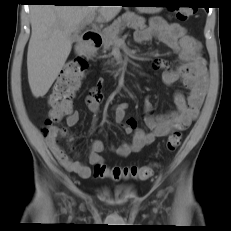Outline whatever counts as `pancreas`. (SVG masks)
<instances>
[{
	"label": "pancreas",
	"mask_w": 231,
	"mask_h": 231,
	"mask_svg": "<svg viewBox=\"0 0 231 231\" xmlns=\"http://www.w3.org/2000/svg\"><path fill=\"white\" fill-rule=\"evenodd\" d=\"M126 26L133 29H144L146 27L145 18L130 11L118 17L109 27L103 30L104 51L109 50L110 47L114 45L118 34Z\"/></svg>",
	"instance_id": "cf45deb5"
}]
</instances>
